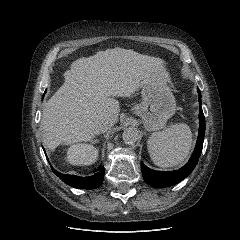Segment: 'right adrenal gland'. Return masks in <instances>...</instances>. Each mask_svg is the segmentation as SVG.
<instances>
[{
  "label": "right adrenal gland",
  "instance_id": "2a0ac1e0",
  "mask_svg": "<svg viewBox=\"0 0 240 240\" xmlns=\"http://www.w3.org/2000/svg\"><path fill=\"white\" fill-rule=\"evenodd\" d=\"M91 142H92V143H96V142H99V140H97V139H94V140H93V139H92Z\"/></svg>",
  "mask_w": 240,
  "mask_h": 240
}]
</instances>
